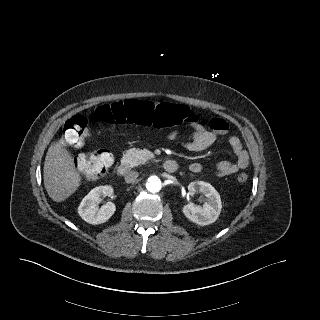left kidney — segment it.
I'll use <instances>...</instances> for the list:
<instances>
[{
  "label": "left kidney",
  "instance_id": "left-kidney-1",
  "mask_svg": "<svg viewBox=\"0 0 320 320\" xmlns=\"http://www.w3.org/2000/svg\"><path fill=\"white\" fill-rule=\"evenodd\" d=\"M191 193L199 192L207 198L203 206L192 202L185 205L182 209L183 214L193 223L201 226L212 224L220 215L222 204L219 193L215 188L204 181H194L188 185Z\"/></svg>",
  "mask_w": 320,
  "mask_h": 320
}]
</instances>
